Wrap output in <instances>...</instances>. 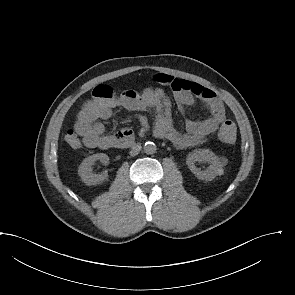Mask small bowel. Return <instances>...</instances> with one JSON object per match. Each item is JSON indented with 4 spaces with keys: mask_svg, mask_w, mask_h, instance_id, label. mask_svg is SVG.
<instances>
[{
    "mask_svg": "<svg viewBox=\"0 0 295 295\" xmlns=\"http://www.w3.org/2000/svg\"><path fill=\"white\" fill-rule=\"evenodd\" d=\"M155 80L169 87L180 111L195 103L204 102L210 115L202 120H188L184 132L178 131L171 118V101L160 87H149L142 91L128 90L119 97L107 101H88L77 115L73 130L66 134V142L73 149L82 145L88 148L107 150L115 147L116 140L125 134H132L124 128L116 134H107L101 120L112 116L113 109L122 107L130 111L152 110L155 113L154 134L170 141L178 149H188L199 145L205 138L214 134L226 121L225 110L216 93L203 85L159 73Z\"/></svg>",
    "mask_w": 295,
    "mask_h": 295,
    "instance_id": "small-bowel-1",
    "label": "small bowel"
}]
</instances>
